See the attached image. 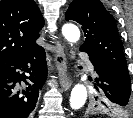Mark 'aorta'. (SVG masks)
<instances>
[{
  "label": "aorta",
  "mask_w": 133,
  "mask_h": 118,
  "mask_svg": "<svg viewBox=\"0 0 133 118\" xmlns=\"http://www.w3.org/2000/svg\"><path fill=\"white\" fill-rule=\"evenodd\" d=\"M62 34L64 38L72 43H75L80 38V30L74 24H65L62 27ZM87 99V89L82 84H77L72 89L70 96V106L74 110L82 108Z\"/></svg>",
  "instance_id": "obj_1"
}]
</instances>
